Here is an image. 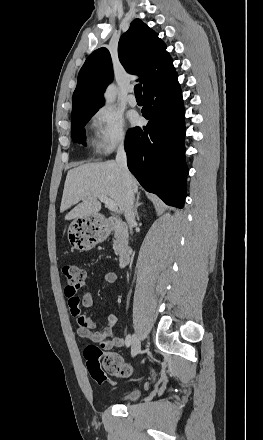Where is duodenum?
I'll return each instance as SVG.
<instances>
[{
    "label": "duodenum",
    "instance_id": "duodenum-1",
    "mask_svg": "<svg viewBox=\"0 0 263 440\" xmlns=\"http://www.w3.org/2000/svg\"><path fill=\"white\" fill-rule=\"evenodd\" d=\"M103 226L107 227L106 233H110L111 231H117L119 233V256L117 262L119 267H124L129 262L132 254L131 246L123 237L126 224L116 218L107 217L103 221Z\"/></svg>",
    "mask_w": 263,
    "mask_h": 440
}]
</instances>
